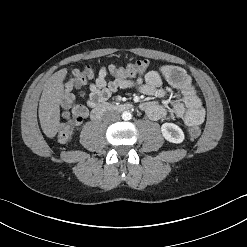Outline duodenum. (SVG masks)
Listing matches in <instances>:
<instances>
[{"label":"duodenum","instance_id":"duodenum-1","mask_svg":"<svg viewBox=\"0 0 247 247\" xmlns=\"http://www.w3.org/2000/svg\"><path fill=\"white\" fill-rule=\"evenodd\" d=\"M131 107L132 105L129 103H122V104L101 103L92 110L91 118L93 120H99L107 112L126 111L131 109Z\"/></svg>","mask_w":247,"mask_h":247}]
</instances>
